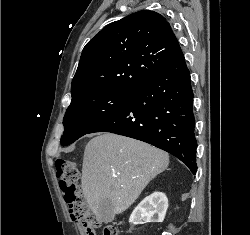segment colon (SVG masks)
I'll list each match as a JSON object with an SVG mask.
<instances>
[{"mask_svg": "<svg viewBox=\"0 0 250 235\" xmlns=\"http://www.w3.org/2000/svg\"><path fill=\"white\" fill-rule=\"evenodd\" d=\"M59 186L65 202L70 209L71 218L80 223L85 235H97V222L89 211L79 186L80 171L76 162L66 159L56 160ZM101 235H118L117 224H107L101 229Z\"/></svg>", "mask_w": 250, "mask_h": 235, "instance_id": "5ec220e1", "label": "colon"}]
</instances>
